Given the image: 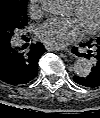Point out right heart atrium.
Segmentation results:
<instances>
[{
	"mask_svg": "<svg viewBox=\"0 0 100 118\" xmlns=\"http://www.w3.org/2000/svg\"><path fill=\"white\" fill-rule=\"evenodd\" d=\"M43 0H29V12L33 17H37L43 12Z\"/></svg>",
	"mask_w": 100,
	"mask_h": 118,
	"instance_id": "1",
	"label": "right heart atrium"
}]
</instances>
